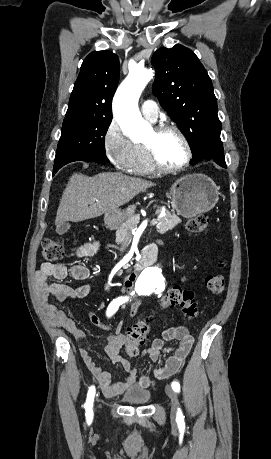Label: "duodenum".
<instances>
[{"instance_id": "410a0bca", "label": "duodenum", "mask_w": 271, "mask_h": 459, "mask_svg": "<svg viewBox=\"0 0 271 459\" xmlns=\"http://www.w3.org/2000/svg\"><path fill=\"white\" fill-rule=\"evenodd\" d=\"M146 263L145 256L138 262L136 266V271L140 270Z\"/></svg>"}]
</instances>
